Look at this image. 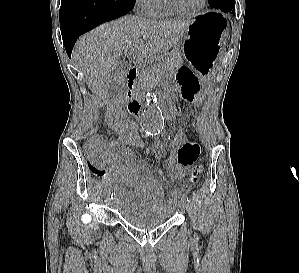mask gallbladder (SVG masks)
Segmentation results:
<instances>
[{"mask_svg":"<svg viewBox=\"0 0 299 273\" xmlns=\"http://www.w3.org/2000/svg\"><path fill=\"white\" fill-rule=\"evenodd\" d=\"M129 70V65L124 61H118L109 79V90L112 98H122L126 91L125 77Z\"/></svg>","mask_w":299,"mask_h":273,"instance_id":"obj_1","label":"gallbladder"}]
</instances>
